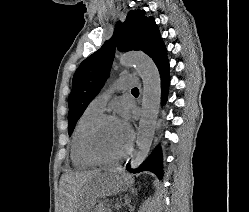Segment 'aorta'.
I'll use <instances>...</instances> for the list:
<instances>
[{
	"instance_id": "762f6f07",
	"label": "aorta",
	"mask_w": 249,
	"mask_h": 212,
	"mask_svg": "<svg viewBox=\"0 0 249 212\" xmlns=\"http://www.w3.org/2000/svg\"><path fill=\"white\" fill-rule=\"evenodd\" d=\"M124 66H134L143 82V100L136 149L131 156V166L137 168L147 157L155 135L160 98L161 78L154 61L144 53L130 52L120 57Z\"/></svg>"
}]
</instances>
